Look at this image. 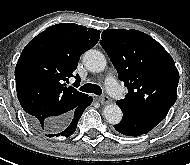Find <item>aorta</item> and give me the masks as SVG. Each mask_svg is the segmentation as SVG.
I'll use <instances>...</instances> for the list:
<instances>
[{"instance_id": "762f6f07", "label": "aorta", "mask_w": 190, "mask_h": 165, "mask_svg": "<svg viewBox=\"0 0 190 165\" xmlns=\"http://www.w3.org/2000/svg\"><path fill=\"white\" fill-rule=\"evenodd\" d=\"M83 63L89 71L96 73L103 71L107 65L105 56L97 50L85 52ZM103 115L110 124H118L123 116L121 109L116 104L106 105L103 109Z\"/></svg>"}]
</instances>
